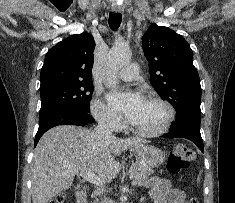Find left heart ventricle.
I'll list each match as a JSON object with an SVG mask.
<instances>
[{
    "label": "left heart ventricle",
    "instance_id": "1",
    "mask_svg": "<svg viewBox=\"0 0 235 203\" xmlns=\"http://www.w3.org/2000/svg\"><path fill=\"white\" fill-rule=\"evenodd\" d=\"M165 115L162 105L145 100L129 122L139 129L152 130L161 125Z\"/></svg>",
    "mask_w": 235,
    "mask_h": 203
}]
</instances>
